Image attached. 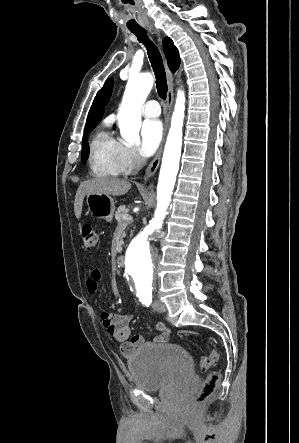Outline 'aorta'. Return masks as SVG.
Listing matches in <instances>:
<instances>
[{
    "instance_id": "1",
    "label": "aorta",
    "mask_w": 299,
    "mask_h": 443,
    "mask_svg": "<svg viewBox=\"0 0 299 443\" xmlns=\"http://www.w3.org/2000/svg\"><path fill=\"white\" fill-rule=\"evenodd\" d=\"M153 82L150 73L129 77L118 112L120 135L129 144L139 141L141 107L152 89ZM184 112L185 94L179 90L159 173L157 208L150 223L131 241L125 257L126 272L134 281L135 294L139 300H149L153 294L156 260L149 241L160 232L171 202L179 170Z\"/></svg>"
}]
</instances>
